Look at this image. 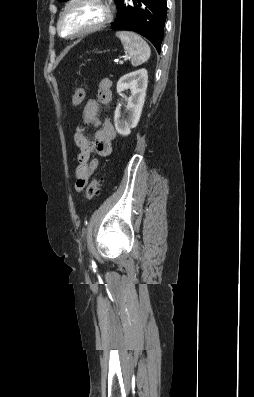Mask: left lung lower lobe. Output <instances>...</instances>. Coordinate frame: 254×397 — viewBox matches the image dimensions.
<instances>
[{
	"label": "left lung lower lobe",
	"mask_w": 254,
	"mask_h": 397,
	"mask_svg": "<svg viewBox=\"0 0 254 397\" xmlns=\"http://www.w3.org/2000/svg\"><path fill=\"white\" fill-rule=\"evenodd\" d=\"M118 8L112 29L132 30L146 37L160 53L167 14L166 0H114Z\"/></svg>",
	"instance_id": "obj_1"
}]
</instances>
